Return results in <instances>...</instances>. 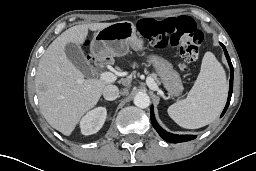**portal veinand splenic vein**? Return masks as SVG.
<instances>
[{"instance_id":"portal-vein-and-splenic-vein-1","label":"portal vein and splenic vein","mask_w":256,"mask_h":171,"mask_svg":"<svg viewBox=\"0 0 256 171\" xmlns=\"http://www.w3.org/2000/svg\"><path fill=\"white\" fill-rule=\"evenodd\" d=\"M99 78L101 80H104V81L110 82V83L116 81V79H117L116 76L111 72H102L99 75ZM147 83L151 89H153V90L157 89V85L154 83V81L152 79H148Z\"/></svg>"}]
</instances>
